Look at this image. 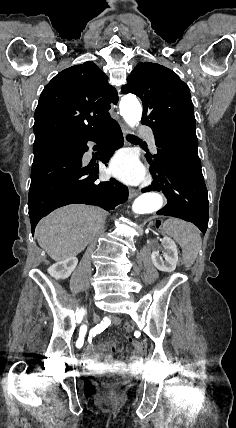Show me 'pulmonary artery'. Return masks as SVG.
Wrapping results in <instances>:
<instances>
[{
	"instance_id": "pulmonary-artery-1",
	"label": "pulmonary artery",
	"mask_w": 236,
	"mask_h": 428,
	"mask_svg": "<svg viewBox=\"0 0 236 428\" xmlns=\"http://www.w3.org/2000/svg\"><path fill=\"white\" fill-rule=\"evenodd\" d=\"M148 141H149V143H150L152 146H155V137H154V136H150V137L148 138Z\"/></svg>"
}]
</instances>
